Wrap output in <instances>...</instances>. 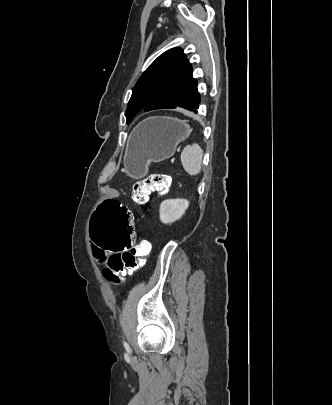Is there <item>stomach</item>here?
Returning <instances> with one entry per match:
<instances>
[{
  "label": "stomach",
  "mask_w": 332,
  "mask_h": 405,
  "mask_svg": "<svg viewBox=\"0 0 332 405\" xmlns=\"http://www.w3.org/2000/svg\"><path fill=\"white\" fill-rule=\"evenodd\" d=\"M190 134V127L177 119L152 117L143 120L132 131L126 147V173L134 179L143 178L151 162L172 157L177 145Z\"/></svg>",
  "instance_id": "1"
}]
</instances>
